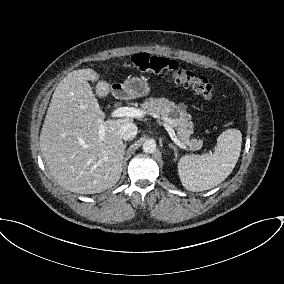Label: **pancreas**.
<instances>
[{
	"mask_svg": "<svg viewBox=\"0 0 284 284\" xmlns=\"http://www.w3.org/2000/svg\"><path fill=\"white\" fill-rule=\"evenodd\" d=\"M141 108L148 115H161L165 119H170L171 125L177 131L178 139L186 145L187 149L192 151L201 149L203 145L201 139H190L193 123L184 106L175 105L166 98L150 97L141 104Z\"/></svg>",
	"mask_w": 284,
	"mask_h": 284,
	"instance_id": "obj_1",
	"label": "pancreas"
}]
</instances>
